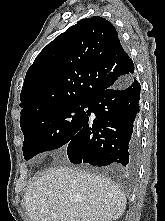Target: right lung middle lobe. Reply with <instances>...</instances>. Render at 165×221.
Returning <instances> with one entry per match:
<instances>
[{
	"instance_id": "obj_1",
	"label": "right lung middle lobe",
	"mask_w": 165,
	"mask_h": 221,
	"mask_svg": "<svg viewBox=\"0 0 165 221\" xmlns=\"http://www.w3.org/2000/svg\"><path fill=\"white\" fill-rule=\"evenodd\" d=\"M89 103L72 104L41 112L20 123L26 160L38 153L57 149L68 142L89 118Z\"/></svg>"
}]
</instances>
